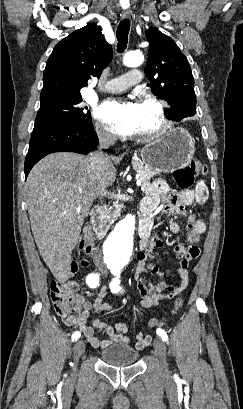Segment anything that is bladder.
I'll return each instance as SVG.
<instances>
[{
	"mask_svg": "<svg viewBox=\"0 0 243 409\" xmlns=\"http://www.w3.org/2000/svg\"><path fill=\"white\" fill-rule=\"evenodd\" d=\"M138 358V351L126 344H113L100 351L101 361L113 367L131 366Z\"/></svg>",
	"mask_w": 243,
	"mask_h": 409,
	"instance_id": "obj_1",
	"label": "bladder"
}]
</instances>
